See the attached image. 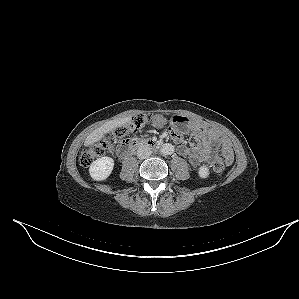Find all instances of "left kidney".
Returning a JSON list of instances; mask_svg holds the SVG:
<instances>
[{
    "instance_id": "1",
    "label": "left kidney",
    "mask_w": 299,
    "mask_h": 299,
    "mask_svg": "<svg viewBox=\"0 0 299 299\" xmlns=\"http://www.w3.org/2000/svg\"><path fill=\"white\" fill-rule=\"evenodd\" d=\"M198 174L200 178H207L209 176V169L206 165H203L199 168Z\"/></svg>"
}]
</instances>
